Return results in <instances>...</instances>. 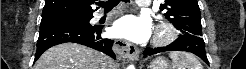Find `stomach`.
<instances>
[{"label":"stomach","instance_id":"1","mask_svg":"<svg viewBox=\"0 0 246 69\" xmlns=\"http://www.w3.org/2000/svg\"><path fill=\"white\" fill-rule=\"evenodd\" d=\"M148 69H171V66L165 58L157 57L152 61Z\"/></svg>","mask_w":246,"mask_h":69}]
</instances>
